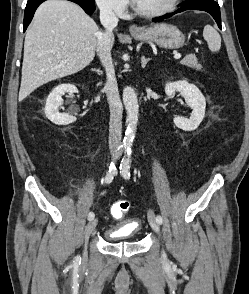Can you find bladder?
<instances>
[{"mask_svg": "<svg viewBox=\"0 0 249 294\" xmlns=\"http://www.w3.org/2000/svg\"><path fill=\"white\" fill-rule=\"evenodd\" d=\"M140 232V226H136L134 225V221L126 219L122 221L120 226L115 227L105 233V239L108 242L121 239L135 240Z\"/></svg>", "mask_w": 249, "mask_h": 294, "instance_id": "bladder-1", "label": "bladder"}]
</instances>
